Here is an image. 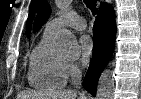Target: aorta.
<instances>
[{"instance_id": "762f6f07", "label": "aorta", "mask_w": 141, "mask_h": 99, "mask_svg": "<svg viewBox=\"0 0 141 99\" xmlns=\"http://www.w3.org/2000/svg\"><path fill=\"white\" fill-rule=\"evenodd\" d=\"M70 0H57L59 8H66ZM56 49L63 54L75 53L78 49V43L75 36L69 31H64L57 37ZM114 79L109 69H105L98 81L96 99H113Z\"/></svg>"}]
</instances>
